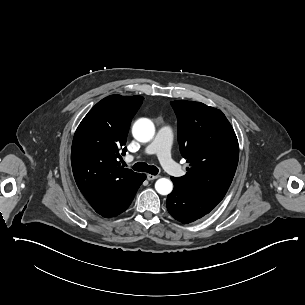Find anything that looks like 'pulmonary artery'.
Returning <instances> with one entry per match:
<instances>
[{"label": "pulmonary artery", "mask_w": 305, "mask_h": 305, "mask_svg": "<svg viewBox=\"0 0 305 305\" xmlns=\"http://www.w3.org/2000/svg\"><path fill=\"white\" fill-rule=\"evenodd\" d=\"M171 136L172 130L170 127H160L153 139L145 146L144 153L148 155H157L158 158L161 159L160 165L164 172H171L176 177H182L184 172L182 170H177L172 158L168 155L170 142L167 139ZM144 153L142 151L133 152L131 156L128 157V160L140 159L144 156Z\"/></svg>", "instance_id": "e3ab8cb5"}]
</instances>
